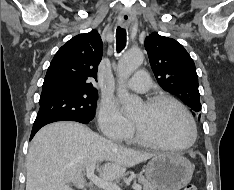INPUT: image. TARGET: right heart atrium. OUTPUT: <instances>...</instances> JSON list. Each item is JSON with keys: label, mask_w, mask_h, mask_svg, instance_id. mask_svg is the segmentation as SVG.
<instances>
[{"label": "right heart atrium", "mask_w": 234, "mask_h": 190, "mask_svg": "<svg viewBox=\"0 0 234 190\" xmlns=\"http://www.w3.org/2000/svg\"><path fill=\"white\" fill-rule=\"evenodd\" d=\"M97 121L100 131L114 141H122L133 127L132 122L122 115L110 99L100 102Z\"/></svg>", "instance_id": "1"}]
</instances>
